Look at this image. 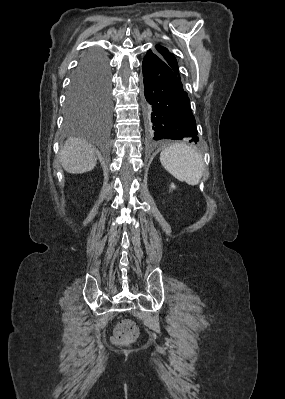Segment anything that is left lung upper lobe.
Wrapping results in <instances>:
<instances>
[{"label": "left lung upper lobe", "instance_id": "left-lung-upper-lobe-1", "mask_svg": "<svg viewBox=\"0 0 285 399\" xmlns=\"http://www.w3.org/2000/svg\"><path fill=\"white\" fill-rule=\"evenodd\" d=\"M156 49L162 55V57L164 59L169 61L178 70V64H177L176 58L174 57V55L172 53H170L168 51L167 48H165L163 46H160V45H157Z\"/></svg>", "mask_w": 285, "mask_h": 399}]
</instances>
